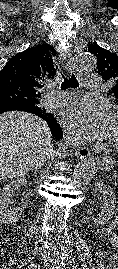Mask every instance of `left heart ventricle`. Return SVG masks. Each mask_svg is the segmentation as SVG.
<instances>
[{
    "mask_svg": "<svg viewBox=\"0 0 118 269\" xmlns=\"http://www.w3.org/2000/svg\"><path fill=\"white\" fill-rule=\"evenodd\" d=\"M106 137L110 141H118V114L115 112L112 113Z\"/></svg>",
    "mask_w": 118,
    "mask_h": 269,
    "instance_id": "b2bd125f",
    "label": "left heart ventricle"
}]
</instances>
